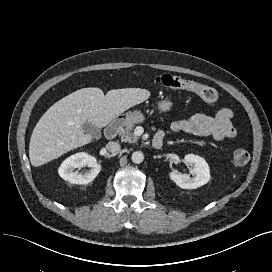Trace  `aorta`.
<instances>
[{"instance_id":"762f6f07","label":"aorta","mask_w":272,"mask_h":272,"mask_svg":"<svg viewBox=\"0 0 272 272\" xmlns=\"http://www.w3.org/2000/svg\"><path fill=\"white\" fill-rule=\"evenodd\" d=\"M131 160L135 164H140L144 160V154L141 151H135L132 153Z\"/></svg>"}]
</instances>
